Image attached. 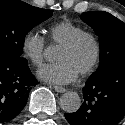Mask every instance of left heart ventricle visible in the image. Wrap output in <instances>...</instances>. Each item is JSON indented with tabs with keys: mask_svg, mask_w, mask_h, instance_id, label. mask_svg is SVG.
Masks as SVG:
<instances>
[{
	"mask_svg": "<svg viewBox=\"0 0 125 125\" xmlns=\"http://www.w3.org/2000/svg\"><path fill=\"white\" fill-rule=\"evenodd\" d=\"M94 55V45L91 39L83 38L74 47L65 49L59 47L56 55L58 61H67L78 74L91 62Z\"/></svg>",
	"mask_w": 125,
	"mask_h": 125,
	"instance_id": "obj_1",
	"label": "left heart ventricle"
}]
</instances>
